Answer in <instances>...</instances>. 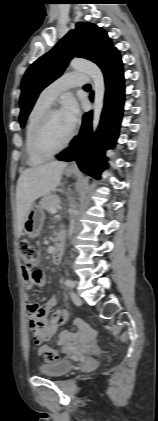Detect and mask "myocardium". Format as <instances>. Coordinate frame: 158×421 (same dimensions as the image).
<instances>
[{
  "label": "myocardium",
  "instance_id": "obj_1",
  "mask_svg": "<svg viewBox=\"0 0 158 421\" xmlns=\"http://www.w3.org/2000/svg\"><path fill=\"white\" fill-rule=\"evenodd\" d=\"M59 110L55 107H49L44 111L38 120L33 132V147L36 153L42 157L50 158L63 151L70 144L74 137V130L72 129L67 139L62 145L55 149H49L44 143V133L51 115Z\"/></svg>",
  "mask_w": 158,
  "mask_h": 421
}]
</instances>
